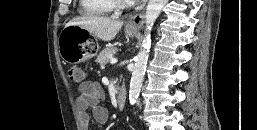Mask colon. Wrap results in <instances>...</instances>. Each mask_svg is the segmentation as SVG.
<instances>
[{"label": "colon", "instance_id": "5ec220e1", "mask_svg": "<svg viewBox=\"0 0 257 130\" xmlns=\"http://www.w3.org/2000/svg\"><path fill=\"white\" fill-rule=\"evenodd\" d=\"M68 74L73 82L80 83L85 79V71L78 66H72L68 69Z\"/></svg>", "mask_w": 257, "mask_h": 130}]
</instances>
